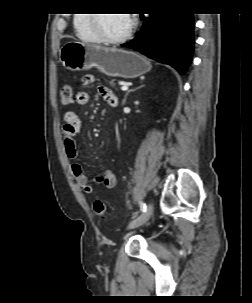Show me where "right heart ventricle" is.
I'll return each mask as SVG.
<instances>
[{
    "mask_svg": "<svg viewBox=\"0 0 252 303\" xmlns=\"http://www.w3.org/2000/svg\"><path fill=\"white\" fill-rule=\"evenodd\" d=\"M74 26L80 36L86 39L99 40L92 24L91 14H78L74 19Z\"/></svg>",
    "mask_w": 252,
    "mask_h": 303,
    "instance_id": "obj_1",
    "label": "right heart ventricle"
}]
</instances>
